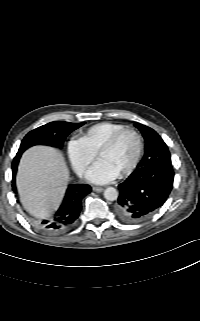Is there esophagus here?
Listing matches in <instances>:
<instances>
[{
  "mask_svg": "<svg viewBox=\"0 0 200 321\" xmlns=\"http://www.w3.org/2000/svg\"><path fill=\"white\" fill-rule=\"evenodd\" d=\"M92 189H93V191H95V192H102V191L104 190V188H102V187H96V186H94Z\"/></svg>",
  "mask_w": 200,
  "mask_h": 321,
  "instance_id": "esophagus-1",
  "label": "esophagus"
}]
</instances>
